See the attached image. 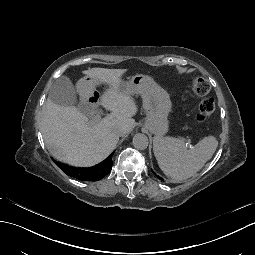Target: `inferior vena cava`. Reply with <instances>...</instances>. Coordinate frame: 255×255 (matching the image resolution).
<instances>
[{
  "label": "inferior vena cava",
  "instance_id": "inferior-vena-cava-1",
  "mask_svg": "<svg viewBox=\"0 0 255 255\" xmlns=\"http://www.w3.org/2000/svg\"><path fill=\"white\" fill-rule=\"evenodd\" d=\"M113 130L118 136H124L129 131V127L126 124H120L115 126Z\"/></svg>",
  "mask_w": 255,
  "mask_h": 255
}]
</instances>
